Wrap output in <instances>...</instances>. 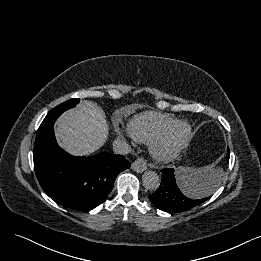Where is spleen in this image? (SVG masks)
Returning a JSON list of instances; mask_svg holds the SVG:
<instances>
[{
  "instance_id": "obj_1",
  "label": "spleen",
  "mask_w": 261,
  "mask_h": 261,
  "mask_svg": "<svg viewBox=\"0 0 261 261\" xmlns=\"http://www.w3.org/2000/svg\"><path fill=\"white\" fill-rule=\"evenodd\" d=\"M190 174V180L199 186L197 194L191 195L193 198L205 197L212 194L219 185L218 175L211 172L208 168L201 170H187Z\"/></svg>"
}]
</instances>
